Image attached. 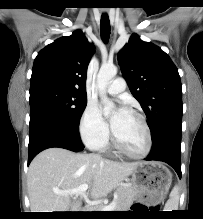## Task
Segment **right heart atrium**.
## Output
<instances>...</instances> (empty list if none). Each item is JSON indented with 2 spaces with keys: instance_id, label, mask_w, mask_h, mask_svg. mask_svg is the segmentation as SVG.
I'll return each instance as SVG.
<instances>
[{
  "instance_id": "obj_1",
  "label": "right heart atrium",
  "mask_w": 203,
  "mask_h": 219,
  "mask_svg": "<svg viewBox=\"0 0 203 219\" xmlns=\"http://www.w3.org/2000/svg\"><path fill=\"white\" fill-rule=\"evenodd\" d=\"M82 141L90 148H102L109 139V127L95 104L86 105L79 122Z\"/></svg>"
}]
</instances>
